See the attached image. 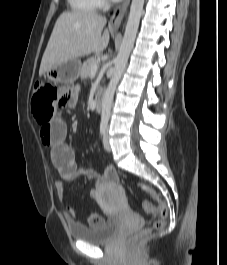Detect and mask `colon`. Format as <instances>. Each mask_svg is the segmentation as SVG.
<instances>
[{
    "mask_svg": "<svg viewBox=\"0 0 227 265\" xmlns=\"http://www.w3.org/2000/svg\"><path fill=\"white\" fill-rule=\"evenodd\" d=\"M59 99H64V97L58 87L44 82H36L32 98V111L41 127L48 125L53 118L55 107L58 105ZM139 186L156 202V205L147 201L143 203V207L148 213L157 215V218L152 222L149 228L144 230V233L161 229L168 214L167 206L153 187L145 183H140ZM137 237L138 236H132L129 242L134 241Z\"/></svg>",
    "mask_w": 227,
    "mask_h": 265,
    "instance_id": "1",
    "label": "colon"
}]
</instances>
